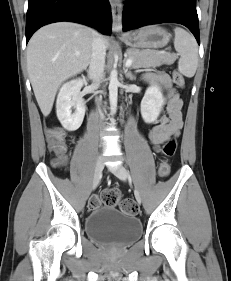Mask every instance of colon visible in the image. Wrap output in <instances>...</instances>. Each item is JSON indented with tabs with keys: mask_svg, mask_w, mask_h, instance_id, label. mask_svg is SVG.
Instances as JSON below:
<instances>
[{
	"mask_svg": "<svg viewBox=\"0 0 231 281\" xmlns=\"http://www.w3.org/2000/svg\"><path fill=\"white\" fill-rule=\"evenodd\" d=\"M174 83L178 87H184L185 80L182 74L178 71H174L172 75ZM47 142L50 150L55 156L54 164L63 165L66 161L67 146L65 142V133L59 127L50 128L46 133ZM176 150V142L171 139L167 141L163 148L162 153L164 159H162L158 165V173L161 177H166L170 173V164L167 158L173 156ZM101 205H106L110 207L120 206L124 213L130 215H136L139 212L138 206L132 199H122L121 193L116 189H109L105 191L101 197H92L89 201V208L96 209Z\"/></svg>",
	"mask_w": 231,
	"mask_h": 281,
	"instance_id": "colon-1",
	"label": "colon"
}]
</instances>
